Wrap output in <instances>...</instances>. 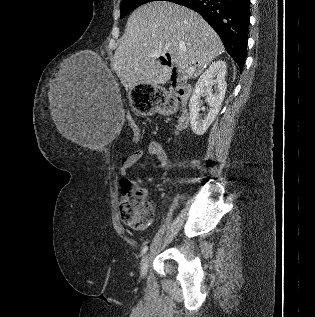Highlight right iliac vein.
I'll return each instance as SVG.
<instances>
[{"instance_id": "1", "label": "right iliac vein", "mask_w": 315, "mask_h": 317, "mask_svg": "<svg viewBox=\"0 0 315 317\" xmlns=\"http://www.w3.org/2000/svg\"><path fill=\"white\" fill-rule=\"evenodd\" d=\"M148 263H149V256L145 255L140 263V277L144 278L146 273H147V269H148Z\"/></svg>"}]
</instances>
